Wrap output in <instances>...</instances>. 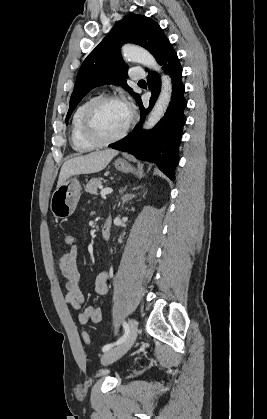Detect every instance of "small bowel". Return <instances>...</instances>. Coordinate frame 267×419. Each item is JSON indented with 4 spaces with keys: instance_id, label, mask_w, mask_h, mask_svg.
<instances>
[{
    "instance_id": "1",
    "label": "small bowel",
    "mask_w": 267,
    "mask_h": 419,
    "mask_svg": "<svg viewBox=\"0 0 267 419\" xmlns=\"http://www.w3.org/2000/svg\"><path fill=\"white\" fill-rule=\"evenodd\" d=\"M78 248L77 245L67 248L57 263V270L67 280L66 294L64 300L66 304L80 311L78 320L80 324L99 323L102 321L103 313L100 308L93 306L84 307L85 297L80 289V273L78 270ZM109 274L106 271L100 272L95 279V290L99 295L108 292Z\"/></svg>"
}]
</instances>
